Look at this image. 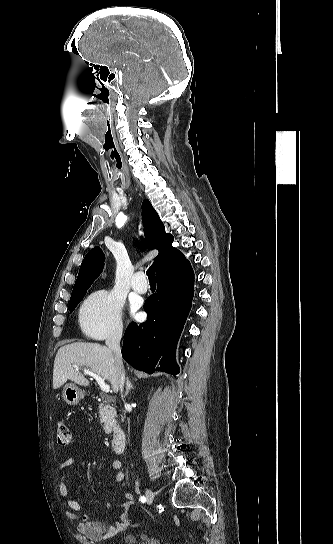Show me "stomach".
Segmentation results:
<instances>
[{
  "label": "stomach",
  "mask_w": 333,
  "mask_h": 544,
  "mask_svg": "<svg viewBox=\"0 0 333 544\" xmlns=\"http://www.w3.org/2000/svg\"><path fill=\"white\" fill-rule=\"evenodd\" d=\"M64 401L69 405H77L82 399V391L74 384H66L62 393Z\"/></svg>",
  "instance_id": "1"
}]
</instances>
